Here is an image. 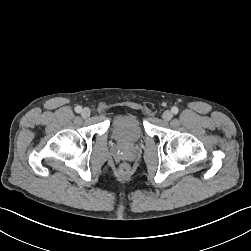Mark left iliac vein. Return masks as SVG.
<instances>
[{
	"mask_svg": "<svg viewBox=\"0 0 251 251\" xmlns=\"http://www.w3.org/2000/svg\"><path fill=\"white\" fill-rule=\"evenodd\" d=\"M162 117H163V119H164L165 121H169V120L172 119L173 114H172L171 111L166 110V111L163 113Z\"/></svg>",
	"mask_w": 251,
	"mask_h": 251,
	"instance_id": "obj_1",
	"label": "left iliac vein"
}]
</instances>
